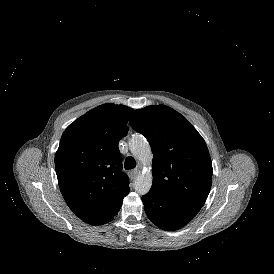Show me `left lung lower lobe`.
<instances>
[{"mask_svg": "<svg viewBox=\"0 0 274 274\" xmlns=\"http://www.w3.org/2000/svg\"><path fill=\"white\" fill-rule=\"evenodd\" d=\"M142 201L148 218L159 228L168 231L183 227L200 210L197 206L178 202L153 189L142 196Z\"/></svg>", "mask_w": 274, "mask_h": 274, "instance_id": "left-lung-lower-lobe-1", "label": "left lung lower lobe"}]
</instances>
